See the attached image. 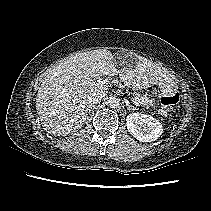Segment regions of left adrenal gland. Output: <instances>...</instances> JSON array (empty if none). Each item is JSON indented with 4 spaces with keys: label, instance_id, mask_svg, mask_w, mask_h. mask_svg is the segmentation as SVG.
I'll return each mask as SVG.
<instances>
[{
    "label": "left adrenal gland",
    "instance_id": "obj_1",
    "mask_svg": "<svg viewBox=\"0 0 211 211\" xmlns=\"http://www.w3.org/2000/svg\"><path fill=\"white\" fill-rule=\"evenodd\" d=\"M126 107H127V110H137V108L136 107H134V106H132V105H126Z\"/></svg>",
    "mask_w": 211,
    "mask_h": 211
}]
</instances>
